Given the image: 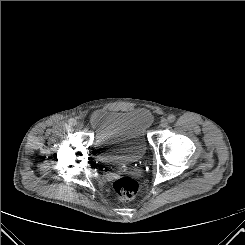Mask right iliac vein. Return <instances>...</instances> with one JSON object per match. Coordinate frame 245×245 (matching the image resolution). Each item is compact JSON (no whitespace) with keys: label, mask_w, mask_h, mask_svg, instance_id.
Returning a JSON list of instances; mask_svg holds the SVG:
<instances>
[{"label":"right iliac vein","mask_w":245,"mask_h":245,"mask_svg":"<svg viewBox=\"0 0 245 245\" xmlns=\"http://www.w3.org/2000/svg\"><path fill=\"white\" fill-rule=\"evenodd\" d=\"M76 126H77L78 128H82V127H83V123L77 122V123H76Z\"/></svg>","instance_id":"1"}]
</instances>
